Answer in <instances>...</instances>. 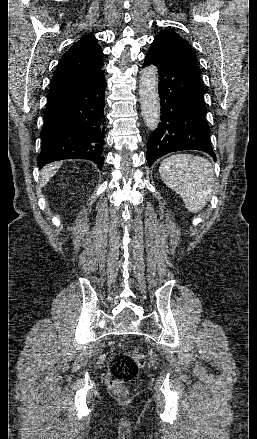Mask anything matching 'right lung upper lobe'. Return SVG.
<instances>
[{"label": "right lung upper lobe", "mask_w": 257, "mask_h": 439, "mask_svg": "<svg viewBox=\"0 0 257 439\" xmlns=\"http://www.w3.org/2000/svg\"><path fill=\"white\" fill-rule=\"evenodd\" d=\"M102 57L103 51L97 39L86 35L62 56L49 91L79 82L98 73L103 65Z\"/></svg>", "instance_id": "cb5924a9"}]
</instances>
